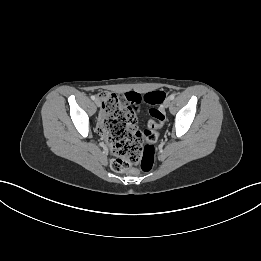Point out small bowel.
<instances>
[{
	"label": "small bowel",
	"mask_w": 261,
	"mask_h": 261,
	"mask_svg": "<svg viewBox=\"0 0 261 261\" xmlns=\"http://www.w3.org/2000/svg\"><path fill=\"white\" fill-rule=\"evenodd\" d=\"M129 94H131V93H129ZM129 94H127L126 97H128ZM126 97H125V98H126ZM136 110H137V109H136ZM136 110L132 111L134 123H136V118H135V111H136Z\"/></svg>",
	"instance_id": "obj_1"
}]
</instances>
